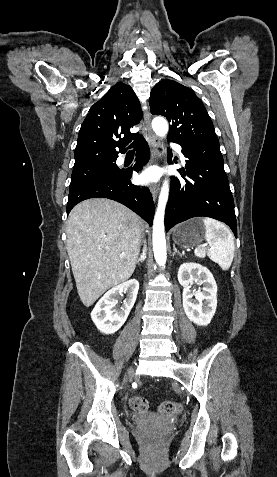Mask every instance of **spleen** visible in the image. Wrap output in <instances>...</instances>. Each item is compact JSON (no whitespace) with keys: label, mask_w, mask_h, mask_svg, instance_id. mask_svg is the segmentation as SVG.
<instances>
[{"label":"spleen","mask_w":277,"mask_h":477,"mask_svg":"<svg viewBox=\"0 0 277 477\" xmlns=\"http://www.w3.org/2000/svg\"><path fill=\"white\" fill-rule=\"evenodd\" d=\"M205 225V239L209 249L196 248L194 253L199 258L206 255L224 271L228 270L234 258V238L231 231L221 222L212 218L202 219Z\"/></svg>","instance_id":"3e777b00"}]
</instances>
